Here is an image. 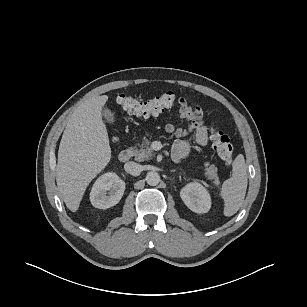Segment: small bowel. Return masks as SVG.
Returning a JSON list of instances; mask_svg holds the SVG:
<instances>
[{"label":"small bowel","mask_w":307,"mask_h":307,"mask_svg":"<svg viewBox=\"0 0 307 307\" xmlns=\"http://www.w3.org/2000/svg\"><path fill=\"white\" fill-rule=\"evenodd\" d=\"M178 103V119L186 122V125L168 123L165 126L168 133L176 136L172 145V156L177 162L188 157L191 152L190 145L184 140L189 134L195 133L196 142L200 146H205L208 142V127L204 124L203 110L199 106L192 107L182 97L178 99Z\"/></svg>","instance_id":"c3829d8e"}]
</instances>
